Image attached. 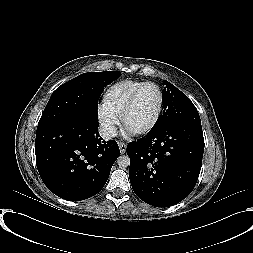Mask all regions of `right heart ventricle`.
I'll use <instances>...</instances> for the list:
<instances>
[{
  "label": "right heart ventricle",
  "instance_id": "e07e8e85",
  "mask_svg": "<svg viewBox=\"0 0 253 253\" xmlns=\"http://www.w3.org/2000/svg\"><path fill=\"white\" fill-rule=\"evenodd\" d=\"M142 83L144 82L133 79L115 82L105 91L102 105L115 115L120 116L128 98Z\"/></svg>",
  "mask_w": 253,
  "mask_h": 253
}]
</instances>
